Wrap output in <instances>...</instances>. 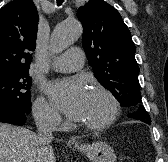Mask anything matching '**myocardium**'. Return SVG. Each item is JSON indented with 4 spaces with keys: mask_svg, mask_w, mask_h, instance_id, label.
Listing matches in <instances>:
<instances>
[{
    "mask_svg": "<svg viewBox=\"0 0 168 162\" xmlns=\"http://www.w3.org/2000/svg\"><path fill=\"white\" fill-rule=\"evenodd\" d=\"M92 93L100 94L104 96L109 102V112L105 118L101 121L94 122V123H85L81 122L80 125L88 130L91 131H100L107 127H109L117 118L119 114V102L116 96L107 88L102 86L94 87L91 90Z\"/></svg>",
    "mask_w": 168,
    "mask_h": 162,
    "instance_id": "obj_1",
    "label": "myocardium"
}]
</instances>
